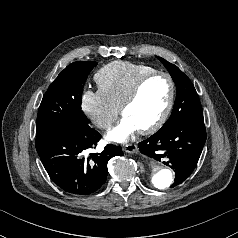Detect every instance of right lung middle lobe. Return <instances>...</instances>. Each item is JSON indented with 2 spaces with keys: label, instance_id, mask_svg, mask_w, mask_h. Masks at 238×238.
I'll return each mask as SVG.
<instances>
[{
  "label": "right lung middle lobe",
  "instance_id": "1",
  "mask_svg": "<svg viewBox=\"0 0 238 238\" xmlns=\"http://www.w3.org/2000/svg\"><path fill=\"white\" fill-rule=\"evenodd\" d=\"M95 66L93 61H77L60 72L43 96L36 135L57 126L89 123L81 110V98L88 74Z\"/></svg>",
  "mask_w": 238,
  "mask_h": 238
}]
</instances>
